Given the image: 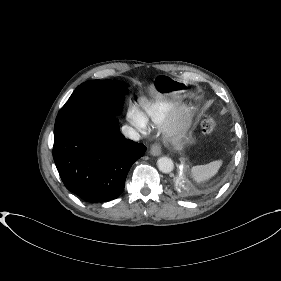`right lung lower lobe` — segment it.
<instances>
[{
  "instance_id": "1",
  "label": "right lung lower lobe",
  "mask_w": 281,
  "mask_h": 281,
  "mask_svg": "<svg viewBox=\"0 0 281 281\" xmlns=\"http://www.w3.org/2000/svg\"><path fill=\"white\" fill-rule=\"evenodd\" d=\"M115 116H80L55 127L53 158L65 187L87 202H106L124 190L132 164L146 147L126 139Z\"/></svg>"
}]
</instances>
